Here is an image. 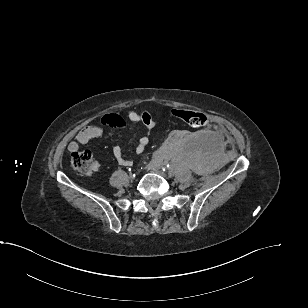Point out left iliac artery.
<instances>
[{
  "label": "left iliac artery",
  "mask_w": 308,
  "mask_h": 308,
  "mask_svg": "<svg viewBox=\"0 0 308 308\" xmlns=\"http://www.w3.org/2000/svg\"><path fill=\"white\" fill-rule=\"evenodd\" d=\"M169 169H171V166L169 164L162 167L163 171H166V170H169Z\"/></svg>",
  "instance_id": "1"
}]
</instances>
